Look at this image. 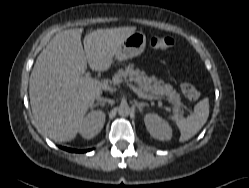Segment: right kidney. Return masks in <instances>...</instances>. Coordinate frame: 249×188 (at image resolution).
I'll list each match as a JSON object with an SVG mask.
<instances>
[{"label":"right kidney","instance_id":"1","mask_svg":"<svg viewBox=\"0 0 249 188\" xmlns=\"http://www.w3.org/2000/svg\"><path fill=\"white\" fill-rule=\"evenodd\" d=\"M104 123L105 113L101 110H92L83 118L79 133L84 139H91L102 130Z\"/></svg>","mask_w":249,"mask_h":188}]
</instances>
